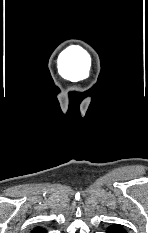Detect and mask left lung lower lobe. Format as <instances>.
<instances>
[{
  "mask_svg": "<svg viewBox=\"0 0 148 233\" xmlns=\"http://www.w3.org/2000/svg\"><path fill=\"white\" fill-rule=\"evenodd\" d=\"M107 233H125L124 231H121L117 228H114V227H109L108 230H107Z\"/></svg>",
  "mask_w": 148,
  "mask_h": 233,
  "instance_id": "1",
  "label": "left lung lower lobe"
}]
</instances>
